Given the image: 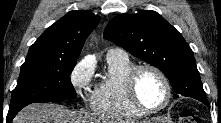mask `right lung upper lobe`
<instances>
[{
    "label": "right lung upper lobe",
    "mask_w": 221,
    "mask_h": 123,
    "mask_svg": "<svg viewBox=\"0 0 221 123\" xmlns=\"http://www.w3.org/2000/svg\"><path fill=\"white\" fill-rule=\"evenodd\" d=\"M100 19L86 10L70 11L30 46L27 57L78 58L86 38Z\"/></svg>",
    "instance_id": "obj_1"
}]
</instances>
